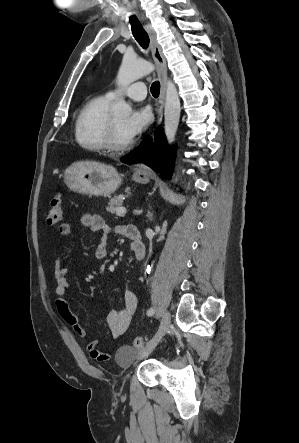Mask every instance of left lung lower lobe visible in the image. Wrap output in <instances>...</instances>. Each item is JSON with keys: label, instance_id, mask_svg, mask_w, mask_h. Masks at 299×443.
<instances>
[{"label": "left lung lower lobe", "instance_id": "0a47b994", "mask_svg": "<svg viewBox=\"0 0 299 443\" xmlns=\"http://www.w3.org/2000/svg\"><path fill=\"white\" fill-rule=\"evenodd\" d=\"M120 160L126 164L144 162L167 179L171 177L173 153L167 146L161 128L156 130L154 142H152L150 137L145 138L137 148L123 156Z\"/></svg>", "mask_w": 299, "mask_h": 443}]
</instances>
